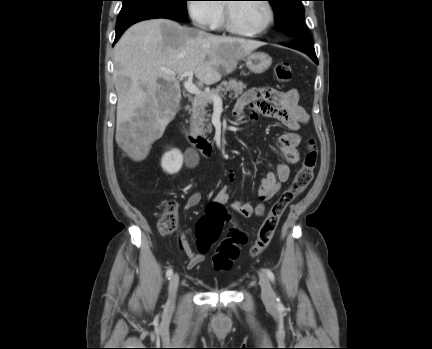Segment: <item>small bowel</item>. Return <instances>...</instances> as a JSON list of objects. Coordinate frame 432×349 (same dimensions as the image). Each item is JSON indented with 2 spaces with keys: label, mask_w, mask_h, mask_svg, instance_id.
<instances>
[{
  "label": "small bowel",
  "mask_w": 432,
  "mask_h": 349,
  "mask_svg": "<svg viewBox=\"0 0 432 349\" xmlns=\"http://www.w3.org/2000/svg\"><path fill=\"white\" fill-rule=\"evenodd\" d=\"M247 111L248 121H255L259 115L273 118L280 121L289 131L277 138L276 146L283 159L278 163L274 170L269 171L261 180L257 191L259 203L256 206L249 202L236 199L232 202V208L243 218L261 216L264 213V203L270 200L281 188V185L290 177V165L300 161L299 146L301 136L298 133L302 125L309 121V114L299 105V95L297 90L289 89L280 91L272 87L251 88L243 93L234 108L236 115H241ZM198 158L190 153L186 157V164L193 168L197 165ZM234 175L229 173V180L233 181ZM229 187L223 186L214 202L225 205L229 201ZM201 201L199 192L192 193L186 203L185 209L191 210ZM181 250L188 257L187 267L193 269L204 259L201 253L195 252L189 243L184 239L180 242Z\"/></svg>",
  "instance_id": "small-bowel-1"
}]
</instances>
